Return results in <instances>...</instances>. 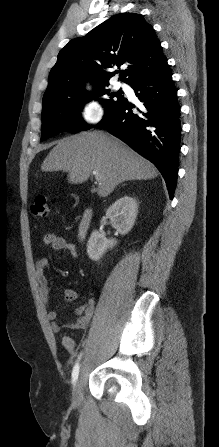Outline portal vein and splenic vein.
Instances as JSON below:
<instances>
[{
    "label": "portal vein and splenic vein",
    "mask_w": 219,
    "mask_h": 447,
    "mask_svg": "<svg viewBox=\"0 0 219 447\" xmlns=\"http://www.w3.org/2000/svg\"><path fill=\"white\" fill-rule=\"evenodd\" d=\"M93 174H94V175H95V177H96L97 173H96V172H93Z\"/></svg>",
    "instance_id": "1"
}]
</instances>
